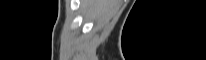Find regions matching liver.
<instances>
[{
  "instance_id": "1",
  "label": "liver",
  "mask_w": 206,
  "mask_h": 60,
  "mask_svg": "<svg viewBox=\"0 0 206 60\" xmlns=\"http://www.w3.org/2000/svg\"><path fill=\"white\" fill-rule=\"evenodd\" d=\"M117 0H82L81 8L86 19L96 22L111 15L117 8Z\"/></svg>"
}]
</instances>
